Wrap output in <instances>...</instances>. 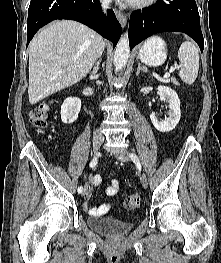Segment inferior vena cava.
Instances as JSON below:
<instances>
[{"label": "inferior vena cava", "instance_id": "inferior-vena-cava-1", "mask_svg": "<svg viewBox=\"0 0 221 263\" xmlns=\"http://www.w3.org/2000/svg\"><path fill=\"white\" fill-rule=\"evenodd\" d=\"M109 4H110V0H101V5H102V7H103L104 9L107 8V7H109ZM98 46H99L100 48H104V41H103V39H102L101 37L99 38ZM102 52H103V51H102ZM95 136H96V137H99V138H102V137H103L102 134L99 132V130L95 132Z\"/></svg>", "mask_w": 221, "mask_h": 263}]
</instances>
